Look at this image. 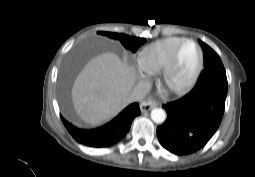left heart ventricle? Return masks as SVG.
<instances>
[{"instance_id":"obj_1","label":"left heart ventricle","mask_w":255,"mask_h":177,"mask_svg":"<svg viewBox=\"0 0 255 177\" xmlns=\"http://www.w3.org/2000/svg\"><path fill=\"white\" fill-rule=\"evenodd\" d=\"M197 61V51L191 44L186 45L172 74V84L179 85L191 75Z\"/></svg>"}]
</instances>
